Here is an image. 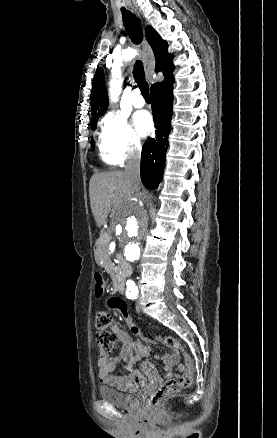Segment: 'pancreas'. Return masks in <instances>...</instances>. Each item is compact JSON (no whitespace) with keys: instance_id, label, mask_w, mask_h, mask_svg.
<instances>
[{"instance_id":"pancreas-1","label":"pancreas","mask_w":277,"mask_h":438,"mask_svg":"<svg viewBox=\"0 0 277 438\" xmlns=\"http://www.w3.org/2000/svg\"><path fill=\"white\" fill-rule=\"evenodd\" d=\"M112 239V232L111 231H102L101 232V239L96 240V247L99 248V250L104 253L103 254V261L102 264L104 267H114L116 264L115 257L116 254L114 251H109V240Z\"/></svg>"}]
</instances>
